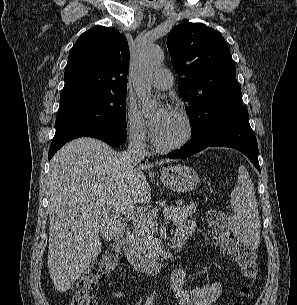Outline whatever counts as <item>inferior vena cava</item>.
Returning <instances> with one entry per match:
<instances>
[{"label": "inferior vena cava", "instance_id": "1", "mask_svg": "<svg viewBox=\"0 0 297 305\" xmlns=\"http://www.w3.org/2000/svg\"><path fill=\"white\" fill-rule=\"evenodd\" d=\"M129 164H137L146 155V132L143 128H134L129 134V145L125 152Z\"/></svg>", "mask_w": 297, "mask_h": 305}]
</instances>
